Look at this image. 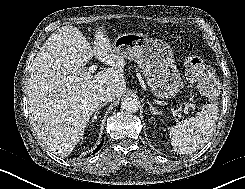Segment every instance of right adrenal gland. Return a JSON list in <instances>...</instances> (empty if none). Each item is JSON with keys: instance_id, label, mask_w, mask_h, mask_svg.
Listing matches in <instances>:
<instances>
[{"instance_id": "right-adrenal-gland-1", "label": "right adrenal gland", "mask_w": 245, "mask_h": 189, "mask_svg": "<svg viewBox=\"0 0 245 189\" xmlns=\"http://www.w3.org/2000/svg\"><path fill=\"white\" fill-rule=\"evenodd\" d=\"M107 103L105 102V103H100L99 104V106L97 107V109L95 110V112H94V114H93V116H92V121L94 122L96 119H97V117H98V115H99V113H100V109H101V107H103V106H105Z\"/></svg>"}]
</instances>
